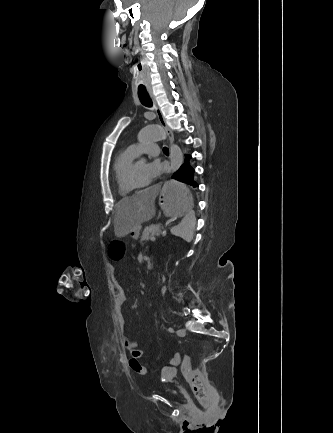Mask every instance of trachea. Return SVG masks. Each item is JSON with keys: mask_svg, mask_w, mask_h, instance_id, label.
Masks as SVG:
<instances>
[{"mask_svg": "<svg viewBox=\"0 0 333 433\" xmlns=\"http://www.w3.org/2000/svg\"><path fill=\"white\" fill-rule=\"evenodd\" d=\"M138 96H139L140 102L144 106H146V107H152V105H153L152 101H151L150 96H149V94H148V92H147V90H146V88L144 86H139L138 87ZM163 152L164 153H168V148L164 147L163 148Z\"/></svg>", "mask_w": 333, "mask_h": 433, "instance_id": "trachea-1", "label": "trachea"}]
</instances>
